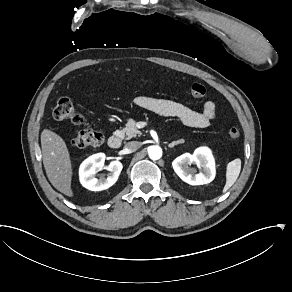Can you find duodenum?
Segmentation results:
<instances>
[{
    "label": "duodenum",
    "instance_id": "1",
    "mask_svg": "<svg viewBox=\"0 0 292 292\" xmlns=\"http://www.w3.org/2000/svg\"><path fill=\"white\" fill-rule=\"evenodd\" d=\"M122 138L119 134H113L108 139V145L112 149H118L121 147Z\"/></svg>",
    "mask_w": 292,
    "mask_h": 292
}]
</instances>
